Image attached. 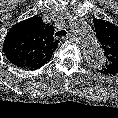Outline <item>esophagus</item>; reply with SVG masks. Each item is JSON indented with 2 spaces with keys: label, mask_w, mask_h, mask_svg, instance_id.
Instances as JSON below:
<instances>
[{
  "label": "esophagus",
  "mask_w": 118,
  "mask_h": 118,
  "mask_svg": "<svg viewBox=\"0 0 118 118\" xmlns=\"http://www.w3.org/2000/svg\"><path fill=\"white\" fill-rule=\"evenodd\" d=\"M64 40H68V39H73V36L71 34H69L68 36L66 37H63Z\"/></svg>",
  "instance_id": "34e87169"
}]
</instances>
